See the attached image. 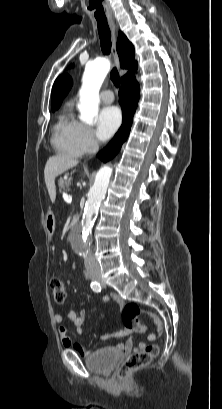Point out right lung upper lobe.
<instances>
[{
	"label": "right lung upper lobe",
	"mask_w": 222,
	"mask_h": 409,
	"mask_svg": "<svg viewBox=\"0 0 222 409\" xmlns=\"http://www.w3.org/2000/svg\"><path fill=\"white\" fill-rule=\"evenodd\" d=\"M116 49L120 58L121 68L130 70L126 75H124L121 78V82H123L128 77L134 75L131 71L137 69V62L135 61L133 45L131 44V42H129L127 37L122 32H119ZM71 86L72 80L66 74L60 76L56 80L52 90L51 100L53 111L57 110L60 107L62 100L68 94L69 90L71 89Z\"/></svg>",
	"instance_id": "1"
}]
</instances>
